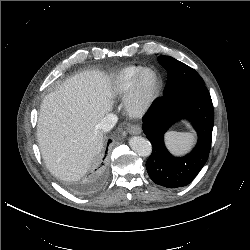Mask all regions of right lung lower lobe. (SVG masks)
<instances>
[{
    "label": "right lung lower lobe",
    "instance_id": "right-lung-lower-lobe-1",
    "mask_svg": "<svg viewBox=\"0 0 250 250\" xmlns=\"http://www.w3.org/2000/svg\"><path fill=\"white\" fill-rule=\"evenodd\" d=\"M111 142V140L108 141V144ZM108 150V149H107ZM106 150V151H107ZM107 154V153H106ZM105 176V166L102 163L101 166L99 167V169L96 172V177H97V181L100 183V181H102L104 179Z\"/></svg>",
    "mask_w": 250,
    "mask_h": 250
}]
</instances>
